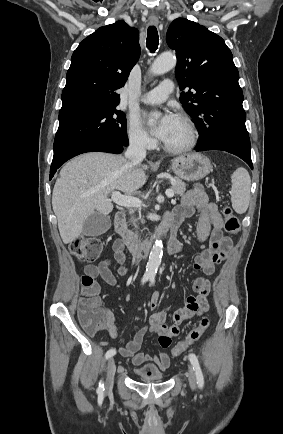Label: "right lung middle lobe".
Listing matches in <instances>:
<instances>
[{
  "mask_svg": "<svg viewBox=\"0 0 283 434\" xmlns=\"http://www.w3.org/2000/svg\"><path fill=\"white\" fill-rule=\"evenodd\" d=\"M54 141V154L87 139L107 138L124 146L129 144L126 116L116 108L94 110L59 116Z\"/></svg>",
  "mask_w": 283,
  "mask_h": 434,
  "instance_id": "1",
  "label": "right lung middle lobe"
}]
</instances>
